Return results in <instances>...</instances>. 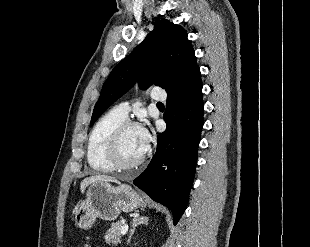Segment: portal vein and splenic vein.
I'll return each instance as SVG.
<instances>
[{"label":"portal vein and splenic vein","instance_id":"1","mask_svg":"<svg viewBox=\"0 0 310 247\" xmlns=\"http://www.w3.org/2000/svg\"><path fill=\"white\" fill-rule=\"evenodd\" d=\"M128 231V225H124L122 228H121V234L122 235H125Z\"/></svg>","mask_w":310,"mask_h":247}]
</instances>
